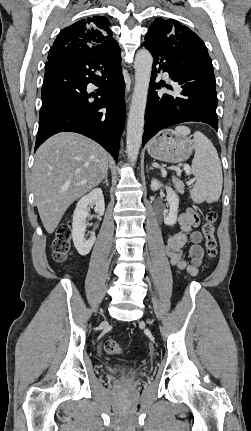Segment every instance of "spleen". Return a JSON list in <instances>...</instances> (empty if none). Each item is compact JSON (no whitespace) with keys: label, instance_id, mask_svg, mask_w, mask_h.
<instances>
[{"label":"spleen","instance_id":"obj_1","mask_svg":"<svg viewBox=\"0 0 251 431\" xmlns=\"http://www.w3.org/2000/svg\"><path fill=\"white\" fill-rule=\"evenodd\" d=\"M175 132L181 135L190 134L186 126H177ZM195 155L192 161V173L196 181L190 191L195 203L217 201L222 192L223 175L217 150L212 142L201 132L194 133Z\"/></svg>","mask_w":251,"mask_h":431}]
</instances>
